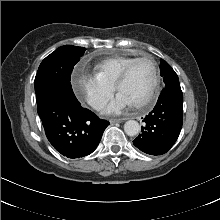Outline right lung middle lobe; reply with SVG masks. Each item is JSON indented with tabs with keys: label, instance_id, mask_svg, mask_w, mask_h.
Instances as JSON below:
<instances>
[{
	"label": "right lung middle lobe",
	"instance_id": "obj_1",
	"mask_svg": "<svg viewBox=\"0 0 220 220\" xmlns=\"http://www.w3.org/2000/svg\"><path fill=\"white\" fill-rule=\"evenodd\" d=\"M85 50L84 47L64 45L41 62L34 81L37 103L56 90H64L74 95L70 76Z\"/></svg>",
	"mask_w": 220,
	"mask_h": 220
}]
</instances>
